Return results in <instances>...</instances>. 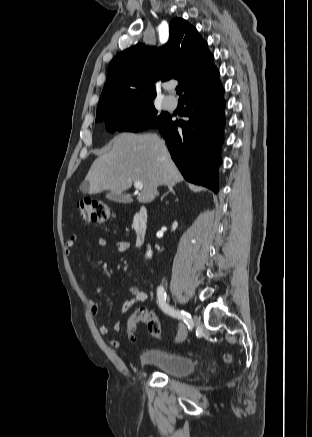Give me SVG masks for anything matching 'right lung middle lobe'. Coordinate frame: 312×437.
I'll list each match as a JSON object with an SVG mask.
<instances>
[{
  "label": "right lung middle lobe",
  "mask_w": 312,
  "mask_h": 437,
  "mask_svg": "<svg viewBox=\"0 0 312 437\" xmlns=\"http://www.w3.org/2000/svg\"><path fill=\"white\" fill-rule=\"evenodd\" d=\"M106 122L109 132L116 130L136 132L147 128H160L167 124L171 117L162 112L158 114L152 102L124 106L111 114L97 118L96 122Z\"/></svg>",
  "instance_id": "dd1d6c3e"
}]
</instances>
